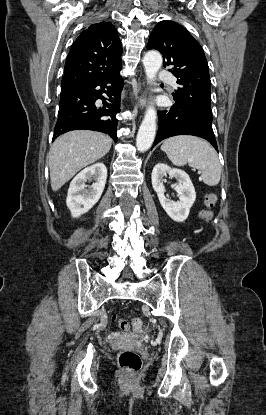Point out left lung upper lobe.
<instances>
[{
    "instance_id": "left-lung-upper-lobe-1",
    "label": "left lung upper lobe",
    "mask_w": 266,
    "mask_h": 415,
    "mask_svg": "<svg viewBox=\"0 0 266 415\" xmlns=\"http://www.w3.org/2000/svg\"><path fill=\"white\" fill-rule=\"evenodd\" d=\"M147 49L160 51L163 66L178 78L175 104L212 127L209 67L200 44L178 23L164 20L154 27Z\"/></svg>"
}]
</instances>
